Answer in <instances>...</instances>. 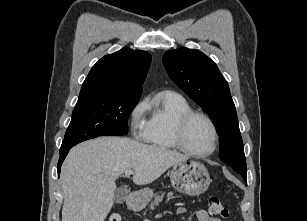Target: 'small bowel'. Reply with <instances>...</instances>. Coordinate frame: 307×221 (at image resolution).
I'll use <instances>...</instances> for the list:
<instances>
[{
	"label": "small bowel",
	"instance_id": "c3829d8e",
	"mask_svg": "<svg viewBox=\"0 0 307 221\" xmlns=\"http://www.w3.org/2000/svg\"><path fill=\"white\" fill-rule=\"evenodd\" d=\"M187 212V209L185 207H178L176 210V214L182 215ZM196 217L198 221H221L220 219L216 217H212L208 214L206 210H198L196 211Z\"/></svg>",
	"mask_w": 307,
	"mask_h": 221
}]
</instances>
